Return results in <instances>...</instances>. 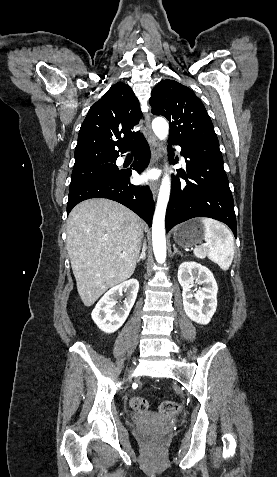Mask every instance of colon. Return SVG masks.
Returning <instances> with one entry per match:
<instances>
[{"label": "colon", "instance_id": "obj_1", "mask_svg": "<svg viewBox=\"0 0 277 477\" xmlns=\"http://www.w3.org/2000/svg\"><path fill=\"white\" fill-rule=\"evenodd\" d=\"M131 407L139 412L145 413L149 410V402L143 397H133L131 399ZM180 410V405L174 401L166 400L159 405V412L163 415H173Z\"/></svg>", "mask_w": 277, "mask_h": 477}]
</instances>
